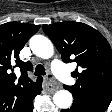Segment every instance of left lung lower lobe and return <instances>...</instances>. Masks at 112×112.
Returning a JSON list of instances; mask_svg holds the SVG:
<instances>
[{
    "label": "left lung lower lobe",
    "instance_id": "left-lung-lower-lobe-1",
    "mask_svg": "<svg viewBox=\"0 0 112 112\" xmlns=\"http://www.w3.org/2000/svg\"><path fill=\"white\" fill-rule=\"evenodd\" d=\"M108 106V104L99 102L74 100L69 109H64L61 112H104Z\"/></svg>",
    "mask_w": 112,
    "mask_h": 112
}]
</instances>
